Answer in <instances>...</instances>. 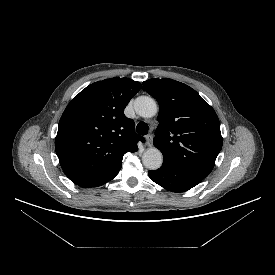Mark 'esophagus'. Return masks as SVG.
Here are the masks:
<instances>
[{"label":"esophagus","mask_w":275,"mask_h":275,"mask_svg":"<svg viewBox=\"0 0 275 275\" xmlns=\"http://www.w3.org/2000/svg\"><path fill=\"white\" fill-rule=\"evenodd\" d=\"M152 144H153V136H152L151 134H148V135L146 136V145H147L148 147H151Z\"/></svg>","instance_id":"obj_1"}]
</instances>
